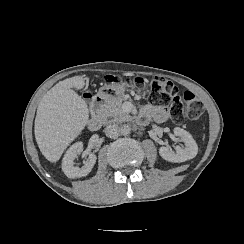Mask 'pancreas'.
<instances>
[{
  "label": "pancreas",
  "instance_id": "cf45deb5",
  "mask_svg": "<svg viewBox=\"0 0 244 244\" xmlns=\"http://www.w3.org/2000/svg\"><path fill=\"white\" fill-rule=\"evenodd\" d=\"M122 100L123 98H119L107 103L100 110L101 117L105 120L112 118L114 122L119 123L131 121L132 117L122 109Z\"/></svg>",
  "mask_w": 244,
  "mask_h": 244
}]
</instances>
